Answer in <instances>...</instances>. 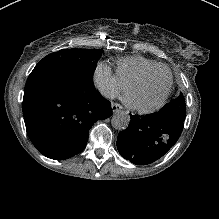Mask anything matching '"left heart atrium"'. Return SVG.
<instances>
[{
  "label": "left heart atrium",
  "instance_id": "obj_1",
  "mask_svg": "<svg viewBox=\"0 0 219 219\" xmlns=\"http://www.w3.org/2000/svg\"><path fill=\"white\" fill-rule=\"evenodd\" d=\"M125 101L131 106L133 102V99L131 97H129L128 95L125 96Z\"/></svg>",
  "mask_w": 219,
  "mask_h": 219
}]
</instances>
